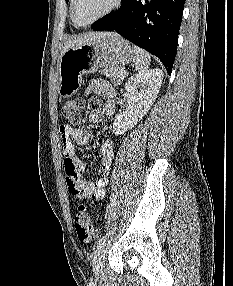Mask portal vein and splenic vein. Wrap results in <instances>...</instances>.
Returning a JSON list of instances; mask_svg holds the SVG:
<instances>
[{"instance_id": "portal-vein-and-splenic-vein-1", "label": "portal vein and splenic vein", "mask_w": 233, "mask_h": 286, "mask_svg": "<svg viewBox=\"0 0 233 286\" xmlns=\"http://www.w3.org/2000/svg\"><path fill=\"white\" fill-rule=\"evenodd\" d=\"M121 77L124 78L125 77V72H121Z\"/></svg>"}]
</instances>
